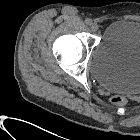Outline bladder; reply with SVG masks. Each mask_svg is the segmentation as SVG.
Returning <instances> with one entry per match:
<instances>
[{"label":"bladder","instance_id":"1","mask_svg":"<svg viewBox=\"0 0 140 140\" xmlns=\"http://www.w3.org/2000/svg\"><path fill=\"white\" fill-rule=\"evenodd\" d=\"M90 70L108 90L140 93V21L119 19L109 23L93 50Z\"/></svg>","mask_w":140,"mask_h":140}]
</instances>
